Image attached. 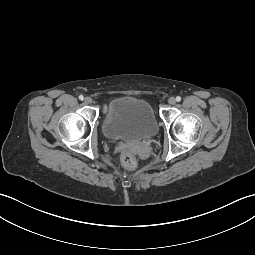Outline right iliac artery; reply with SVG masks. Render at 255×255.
Here are the masks:
<instances>
[{"label":"right iliac artery","mask_w":255,"mask_h":255,"mask_svg":"<svg viewBox=\"0 0 255 255\" xmlns=\"http://www.w3.org/2000/svg\"><path fill=\"white\" fill-rule=\"evenodd\" d=\"M79 99H80V100H83V99H84L83 95H80V96H79Z\"/></svg>","instance_id":"right-iliac-artery-1"}]
</instances>
